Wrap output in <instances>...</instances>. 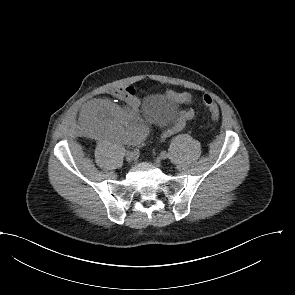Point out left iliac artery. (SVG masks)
I'll return each instance as SVG.
<instances>
[{
  "instance_id": "left-iliac-artery-1",
  "label": "left iliac artery",
  "mask_w": 295,
  "mask_h": 295,
  "mask_svg": "<svg viewBox=\"0 0 295 295\" xmlns=\"http://www.w3.org/2000/svg\"><path fill=\"white\" fill-rule=\"evenodd\" d=\"M160 155H161V157H163V158H167V153H166V151H162V152L160 153Z\"/></svg>"
}]
</instances>
